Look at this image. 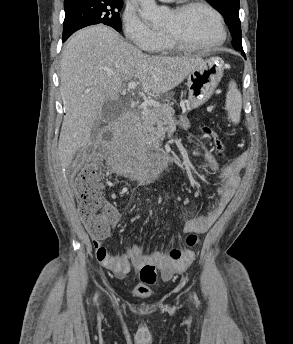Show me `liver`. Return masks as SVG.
Wrapping results in <instances>:
<instances>
[{
    "instance_id": "1",
    "label": "liver",
    "mask_w": 293,
    "mask_h": 344,
    "mask_svg": "<svg viewBox=\"0 0 293 344\" xmlns=\"http://www.w3.org/2000/svg\"><path fill=\"white\" fill-rule=\"evenodd\" d=\"M203 62L201 57L143 53L103 25L77 32L67 43L60 66L64 119L58 157L67 168L88 144L104 104L116 100L127 81L138 80L148 95L167 93Z\"/></svg>"
}]
</instances>
